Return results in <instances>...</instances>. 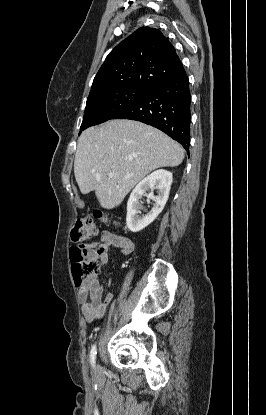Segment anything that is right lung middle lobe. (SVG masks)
Returning a JSON list of instances; mask_svg holds the SVG:
<instances>
[{
	"mask_svg": "<svg viewBox=\"0 0 266 415\" xmlns=\"http://www.w3.org/2000/svg\"><path fill=\"white\" fill-rule=\"evenodd\" d=\"M148 89L122 87L89 95L80 132L110 120L115 114L143 99Z\"/></svg>",
	"mask_w": 266,
	"mask_h": 415,
	"instance_id": "obj_1",
	"label": "right lung middle lobe"
}]
</instances>
